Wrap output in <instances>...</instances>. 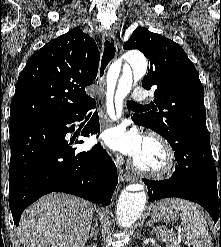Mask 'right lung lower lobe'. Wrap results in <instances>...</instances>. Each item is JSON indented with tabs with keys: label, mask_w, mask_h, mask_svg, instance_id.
Wrapping results in <instances>:
<instances>
[{
	"label": "right lung lower lobe",
	"mask_w": 221,
	"mask_h": 247,
	"mask_svg": "<svg viewBox=\"0 0 221 247\" xmlns=\"http://www.w3.org/2000/svg\"><path fill=\"white\" fill-rule=\"evenodd\" d=\"M85 109L63 119L22 122L9 126L11 162L9 167V206L15 225L22 212L41 196L51 192L74 194L91 202L109 205L118 182L117 169L100 143L90 150L75 153L70 145L83 143L66 140L74 125L82 120ZM99 132L95 112L82 131L83 136Z\"/></svg>",
	"instance_id": "1"
}]
</instances>
